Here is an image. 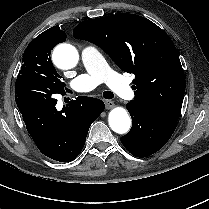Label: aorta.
<instances>
[{
  "label": "aorta",
  "instance_id": "762f6f07",
  "mask_svg": "<svg viewBox=\"0 0 209 209\" xmlns=\"http://www.w3.org/2000/svg\"><path fill=\"white\" fill-rule=\"evenodd\" d=\"M53 60L61 69L73 68L79 60L78 51L70 44H60L54 49ZM108 122L110 128L118 134L127 133L131 126V119L122 107H116L110 111Z\"/></svg>",
  "mask_w": 209,
  "mask_h": 209
}]
</instances>
